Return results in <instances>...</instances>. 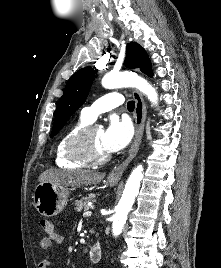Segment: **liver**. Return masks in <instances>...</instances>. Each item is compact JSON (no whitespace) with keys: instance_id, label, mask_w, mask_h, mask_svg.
Here are the masks:
<instances>
[{"instance_id":"liver-1","label":"liver","mask_w":221,"mask_h":268,"mask_svg":"<svg viewBox=\"0 0 221 268\" xmlns=\"http://www.w3.org/2000/svg\"><path fill=\"white\" fill-rule=\"evenodd\" d=\"M104 178L103 173L93 171H69L47 169L38 178L40 183L49 182L64 186H90L99 183Z\"/></svg>"}]
</instances>
